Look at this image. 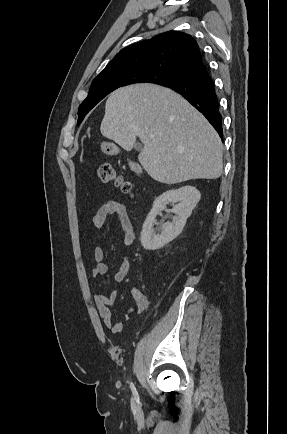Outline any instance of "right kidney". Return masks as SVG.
Listing matches in <instances>:
<instances>
[{
  "label": "right kidney",
  "instance_id": "1",
  "mask_svg": "<svg viewBox=\"0 0 287 434\" xmlns=\"http://www.w3.org/2000/svg\"><path fill=\"white\" fill-rule=\"evenodd\" d=\"M201 194L194 186H183L176 190H169L155 199L153 207L148 214L141 231L140 241L146 250H157L174 240L183 230L187 218L200 201ZM173 204L172 212L175 214L172 222H165L160 234L153 228L156 216Z\"/></svg>",
  "mask_w": 287,
  "mask_h": 434
}]
</instances>
